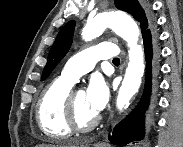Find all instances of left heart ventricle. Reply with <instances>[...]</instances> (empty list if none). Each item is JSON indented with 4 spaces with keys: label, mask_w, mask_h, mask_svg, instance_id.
<instances>
[{
    "label": "left heart ventricle",
    "mask_w": 183,
    "mask_h": 147,
    "mask_svg": "<svg viewBox=\"0 0 183 147\" xmlns=\"http://www.w3.org/2000/svg\"><path fill=\"white\" fill-rule=\"evenodd\" d=\"M74 101L77 118L81 124H87L96 116V113L92 111L87 103L85 92H75Z\"/></svg>",
    "instance_id": "left-heart-ventricle-1"
}]
</instances>
